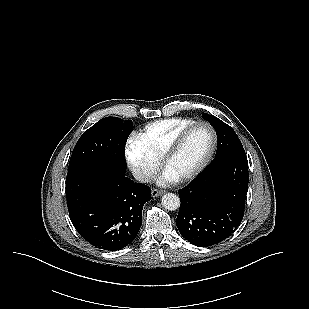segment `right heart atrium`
<instances>
[{
    "label": "right heart atrium",
    "instance_id": "obj_1",
    "mask_svg": "<svg viewBox=\"0 0 309 309\" xmlns=\"http://www.w3.org/2000/svg\"><path fill=\"white\" fill-rule=\"evenodd\" d=\"M125 156L134 177L142 183L151 181L160 168V159L144 148L136 138L128 140Z\"/></svg>",
    "mask_w": 309,
    "mask_h": 309
}]
</instances>
